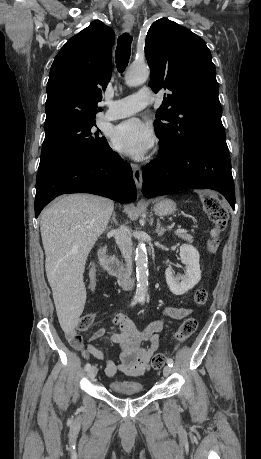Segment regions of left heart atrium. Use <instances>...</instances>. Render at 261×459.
Masks as SVG:
<instances>
[{
    "label": "left heart atrium",
    "mask_w": 261,
    "mask_h": 459,
    "mask_svg": "<svg viewBox=\"0 0 261 459\" xmlns=\"http://www.w3.org/2000/svg\"><path fill=\"white\" fill-rule=\"evenodd\" d=\"M111 142L120 153L141 159L153 146L154 133L148 124L138 118H131L113 129Z\"/></svg>",
    "instance_id": "39dd6f15"
}]
</instances>
